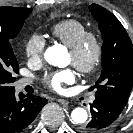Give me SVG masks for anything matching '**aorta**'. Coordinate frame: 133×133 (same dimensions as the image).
<instances>
[{"label": "aorta", "instance_id": "762f6f07", "mask_svg": "<svg viewBox=\"0 0 133 133\" xmlns=\"http://www.w3.org/2000/svg\"><path fill=\"white\" fill-rule=\"evenodd\" d=\"M44 57L53 66L64 67L66 65L67 53L61 45L49 47L45 51ZM71 119L75 124H84L88 119V113L84 108L77 107L72 111Z\"/></svg>", "mask_w": 133, "mask_h": 133}]
</instances>
